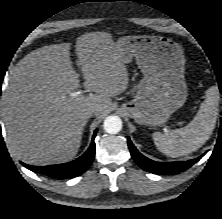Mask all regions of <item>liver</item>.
Returning a JSON list of instances; mask_svg holds the SVG:
<instances>
[{"label":"liver","mask_w":222,"mask_h":219,"mask_svg":"<svg viewBox=\"0 0 222 219\" xmlns=\"http://www.w3.org/2000/svg\"><path fill=\"white\" fill-rule=\"evenodd\" d=\"M70 43L43 46L21 59L9 78L3 105L8 144L23 162L44 166L72 160L90 116L106 115L111 97L129 83L126 63L112 35L91 32L76 41L84 87L95 94L71 96L80 86Z\"/></svg>","instance_id":"liver-1"}]
</instances>
